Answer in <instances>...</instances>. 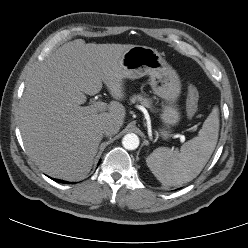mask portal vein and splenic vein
Masks as SVG:
<instances>
[{"label":"portal vein and splenic vein","instance_id":"18ae733b","mask_svg":"<svg viewBox=\"0 0 248 248\" xmlns=\"http://www.w3.org/2000/svg\"><path fill=\"white\" fill-rule=\"evenodd\" d=\"M108 105L105 102L102 101H96L95 103H93L91 106L88 107V109L93 112H104L106 111Z\"/></svg>","mask_w":248,"mask_h":248}]
</instances>
